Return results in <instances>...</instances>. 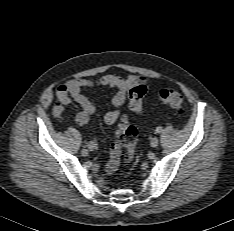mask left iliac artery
Masks as SVG:
<instances>
[{
  "label": "left iliac artery",
  "instance_id": "obj_1",
  "mask_svg": "<svg viewBox=\"0 0 234 231\" xmlns=\"http://www.w3.org/2000/svg\"><path fill=\"white\" fill-rule=\"evenodd\" d=\"M162 132V127H157L156 128V133H161Z\"/></svg>",
  "mask_w": 234,
  "mask_h": 231
}]
</instances>
